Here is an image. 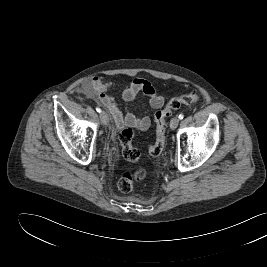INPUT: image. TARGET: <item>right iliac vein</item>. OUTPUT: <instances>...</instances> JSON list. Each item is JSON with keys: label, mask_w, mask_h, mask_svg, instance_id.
<instances>
[{"label": "right iliac vein", "mask_w": 267, "mask_h": 267, "mask_svg": "<svg viewBox=\"0 0 267 267\" xmlns=\"http://www.w3.org/2000/svg\"><path fill=\"white\" fill-rule=\"evenodd\" d=\"M100 120H101V123L103 125H108V123H109V116H108V114L105 113V112H102L100 114Z\"/></svg>", "instance_id": "right-iliac-vein-1"}]
</instances>
